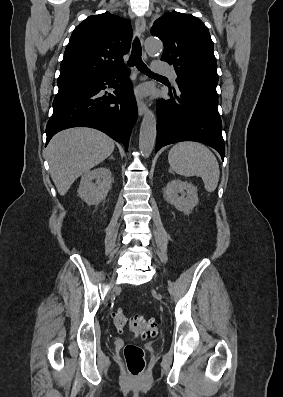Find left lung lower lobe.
Segmentation results:
<instances>
[{"instance_id": "1", "label": "left lung lower lobe", "mask_w": 283, "mask_h": 397, "mask_svg": "<svg viewBox=\"0 0 283 397\" xmlns=\"http://www.w3.org/2000/svg\"><path fill=\"white\" fill-rule=\"evenodd\" d=\"M170 99L157 101V142L161 147L180 141H197L211 146L225 156L218 97L205 92L178 87Z\"/></svg>"}]
</instances>
